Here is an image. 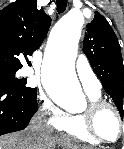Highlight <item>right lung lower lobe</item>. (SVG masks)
Returning a JSON list of instances; mask_svg holds the SVG:
<instances>
[{
	"label": "right lung lower lobe",
	"mask_w": 124,
	"mask_h": 149,
	"mask_svg": "<svg viewBox=\"0 0 124 149\" xmlns=\"http://www.w3.org/2000/svg\"><path fill=\"white\" fill-rule=\"evenodd\" d=\"M37 90L28 92L0 79V136L23 130L37 112Z\"/></svg>",
	"instance_id": "98d812e1"
}]
</instances>
